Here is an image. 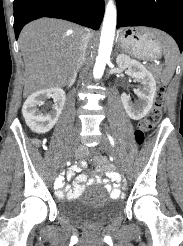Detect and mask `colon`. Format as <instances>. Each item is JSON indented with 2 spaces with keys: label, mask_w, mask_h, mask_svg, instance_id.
Wrapping results in <instances>:
<instances>
[{
  "label": "colon",
  "mask_w": 183,
  "mask_h": 246,
  "mask_svg": "<svg viewBox=\"0 0 183 246\" xmlns=\"http://www.w3.org/2000/svg\"><path fill=\"white\" fill-rule=\"evenodd\" d=\"M166 88L161 85L157 89L155 103L151 108L147 116L141 120L139 127L135 133L136 140L139 143H143L146 139L147 133H149L161 120L162 118V106L165 97ZM99 151L97 149H91L90 153L98 155Z\"/></svg>",
  "instance_id": "colon-1"
}]
</instances>
